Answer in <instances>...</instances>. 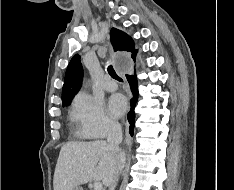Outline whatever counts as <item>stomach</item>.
<instances>
[{"label":"stomach","mask_w":234,"mask_h":190,"mask_svg":"<svg viewBox=\"0 0 234 190\" xmlns=\"http://www.w3.org/2000/svg\"><path fill=\"white\" fill-rule=\"evenodd\" d=\"M72 190H83V188L80 187V186H76V187H74Z\"/></svg>","instance_id":"0dacf381"}]
</instances>
